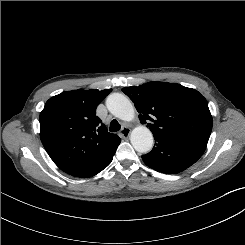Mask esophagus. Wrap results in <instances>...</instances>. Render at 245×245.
<instances>
[{
    "label": "esophagus",
    "instance_id": "34e87169",
    "mask_svg": "<svg viewBox=\"0 0 245 245\" xmlns=\"http://www.w3.org/2000/svg\"><path fill=\"white\" fill-rule=\"evenodd\" d=\"M130 133H131V129H130L129 127H126V126H125V127H123L122 130H121V135H122V137H124V138L129 137Z\"/></svg>",
    "mask_w": 245,
    "mask_h": 245
}]
</instances>
